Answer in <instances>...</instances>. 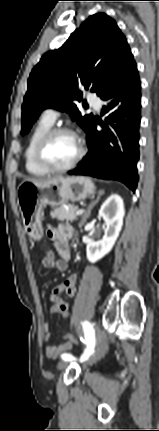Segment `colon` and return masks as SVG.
<instances>
[{
  "mask_svg": "<svg viewBox=\"0 0 159 431\" xmlns=\"http://www.w3.org/2000/svg\"><path fill=\"white\" fill-rule=\"evenodd\" d=\"M44 253H46V260L51 261L54 259V252L52 250V248L50 247L49 242H44ZM49 265H52V262H49ZM63 317L64 319H68V317H70V310H63ZM68 339L72 340V345L73 346H80V340L76 339V334L72 333V331H67L66 332H62V335H66Z\"/></svg>",
  "mask_w": 159,
  "mask_h": 431,
  "instance_id": "colon-1",
  "label": "colon"
}]
</instances>
